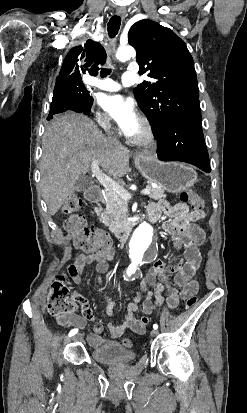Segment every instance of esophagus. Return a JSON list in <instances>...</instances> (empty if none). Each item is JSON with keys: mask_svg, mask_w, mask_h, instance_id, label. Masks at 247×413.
<instances>
[{"mask_svg": "<svg viewBox=\"0 0 247 413\" xmlns=\"http://www.w3.org/2000/svg\"><path fill=\"white\" fill-rule=\"evenodd\" d=\"M117 15H119V17H125L126 12H116ZM141 153L139 152V150H135L134 155H140Z\"/></svg>", "mask_w": 247, "mask_h": 413, "instance_id": "1", "label": "esophagus"}]
</instances>
